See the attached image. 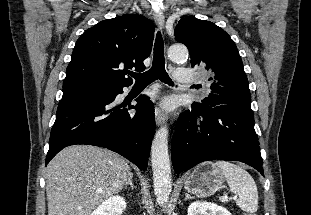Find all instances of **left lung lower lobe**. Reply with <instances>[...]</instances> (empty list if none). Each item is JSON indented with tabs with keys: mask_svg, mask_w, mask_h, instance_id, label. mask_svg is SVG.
<instances>
[{
	"mask_svg": "<svg viewBox=\"0 0 311 215\" xmlns=\"http://www.w3.org/2000/svg\"><path fill=\"white\" fill-rule=\"evenodd\" d=\"M171 157L175 172L217 159L244 162L263 175L253 111L238 105L192 104L176 123Z\"/></svg>",
	"mask_w": 311,
	"mask_h": 215,
	"instance_id": "1",
	"label": "left lung lower lobe"
}]
</instances>
